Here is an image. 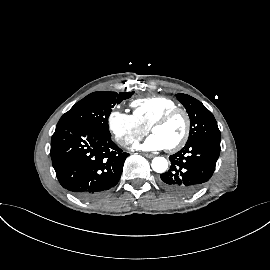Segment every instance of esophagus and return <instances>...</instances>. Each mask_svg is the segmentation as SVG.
<instances>
[{"mask_svg":"<svg viewBox=\"0 0 270 270\" xmlns=\"http://www.w3.org/2000/svg\"><path fill=\"white\" fill-rule=\"evenodd\" d=\"M143 155L145 157H147V158H153L154 157V155L153 154H150V153H144Z\"/></svg>","mask_w":270,"mask_h":270,"instance_id":"esophagus-1","label":"esophagus"}]
</instances>
